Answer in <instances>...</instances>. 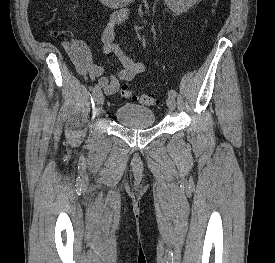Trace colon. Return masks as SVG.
Here are the masks:
<instances>
[{
	"label": "colon",
	"instance_id": "1",
	"mask_svg": "<svg viewBox=\"0 0 275 263\" xmlns=\"http://www.w3.org/2000/svg\"><path fill=\"white\" fill-rule=\"evenodd\" d=\"M120 95L123 98L132 100L135 103L144 106H154L159 103V100L155 94L152 93H136L127 87H122L120 89Z\"/></svg>",
	"mask_w": 275,
	"mask_h": 263
}]
</instances>
